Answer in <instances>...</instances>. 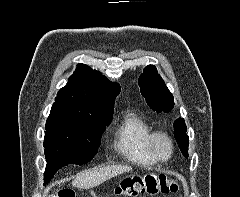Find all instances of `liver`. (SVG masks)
<instances>
[{
  "label": "liver",
  "instance_id": "6515ba94",
  "mask_svg": "<svg viewBox=\"0 0 240 197\" xmlns=\"http://www.w3.org/2000/svg\"><path fill=\"white\" fill-rule=\"evenodd\" d=\"M131 170L132 167L130 166L113 165L104 168L83 171L74 178L72 185L76 188L81 189L93 188L100 185L109 178H112L124 172H129Z\"/></svg>",
  "mask_w": 240,
  "mask_h": 197
}]
</instances>
